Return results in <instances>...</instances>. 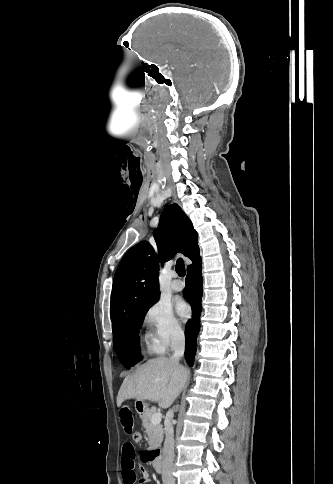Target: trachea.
Returning <instances> with one entry per match:
<instances>
[{"label":"trachea","instance_id":"3493384b","mask_svg":"<svg viewBox=\"0 0 333 484\" xmlns=\"http://www.w3.org/2000/svg\"><path fill=\"white\" fill-rule=\"evenodd\" d=\"M176 272L180 277H184L186 274L185 265L182 258H179L176 262Z\"/></svg>","mask_w":333,"mask_h":484}]
</instances>
